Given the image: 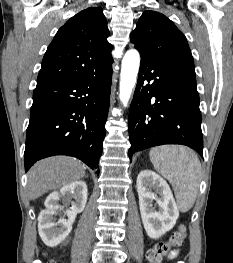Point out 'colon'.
Returning a JSON list of instances; mask_svg holds the SVG:
<instances>
[{"instance_id":"obj_1","label":"colon","mask_w":233,"mask_h":263,"mask_svg":"<svg viewBox=\"0 0 233 263\" xmlns=\"http://www.w3.org/2000/svg\"><path fill=\"white\" fill-rule=\"evenodd\" d=\"M186 238L185 229L182 227L174 232L167 241H161L154 245L147 253L150 263H161L163 258L174 248L180 247ZM54 263V262H50Z\"/></svg>"}]
</instances>
